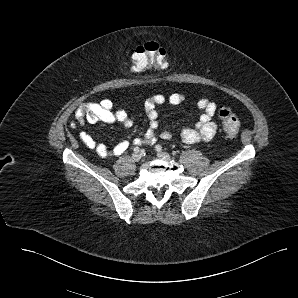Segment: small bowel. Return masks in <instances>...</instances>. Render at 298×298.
Masks as SVG:
<instances>
[{
  "instance_id": "obj_1",
  "label": "small bowel",
  "mask_w": 298,
  "mask_h": 298,
  "mask_svg": "<svg viewBox=\"0 0 298 298\" xmlns=\"http://www.w3.org/2000/svg\"><path fill=\"white\" fill-rule=\"evenodd\" d=\"M184 95L172 93L168 96L158 94L148 98L144 102V109L147 114L149 124L143 138H135L133 144H155L159 139L170 140L172 134L169 131H162L157 134L158 113L157 107L163 104L179 105L184 101ZM197 107L202 111L195 128H186L181 132V139L188 144L200 141L211 140L217 131V125L213 121L216 113V104L209 99L202 98L197 102ZM105 122L109 124L121 123L126 128L133 126V118L125 110H113V103L110 99H103L99 102L82 104L75 112L72 126H82L85 123ZM81 142L89 149L94 150L101 157L119 156L129 147L130 143L126 139H121L114 147L108 148L102 143L96 142L87 132H80Z\"/></svg>"
}]
</instances>
